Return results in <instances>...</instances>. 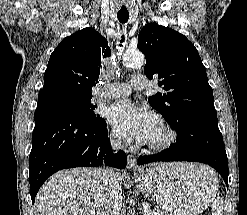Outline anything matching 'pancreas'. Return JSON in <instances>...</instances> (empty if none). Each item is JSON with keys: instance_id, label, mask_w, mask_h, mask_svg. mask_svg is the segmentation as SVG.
<instances>
[{"instance_id": "obj_1", "label": "pancreas", "mask_w": 247, "mask_h": 215, "mask_svg": "<svg viewBox=\"0 0 247 215\" xmlns=\"http://www.w3.org/2000/svg\"><path fill=\"white\" fill-rule=\"evenodd\" d=\"M143 215H166L165 212L161 211V210H143L142 211Z\"/></svg>"}]
</instances>
